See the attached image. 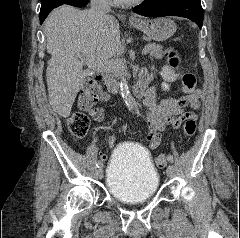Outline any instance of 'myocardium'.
Returning a JSON list of instances; mask_svg holds the SVG:
<instances>
[{
	"label": "myocardium",
	"instance_id": "1",
	"mask_svg": "<svg viewBox=\"0 0 240 238\" xmlns=\"http://www.w3.org/2000/svg\"><path fill=\"white\" fill-rule=\"evenodd\" d=\"M143 1L144 0H120L118 2H119V4H122V5L132 6V5L140 4Z\"/></svg>",
	"mask_w": 240,
	"mask_h": 238
}]
</instances>
